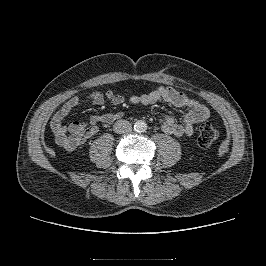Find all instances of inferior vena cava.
Returning <instances> with one entry per match:
<instances>
[{"mask_svg": "<svg viewBox=\"0 0 266 266\" xmlns=\"http://www.w3.org/2000/svg\"><path fill=\"white\" fill-rule=\"evenodd\" d=\"M132 129V125L127 120H118L114 124V131L118 134L127 133Z\"/></svg>", "mask_w": 266, "mask_h": 266, "instance_id": "602c4592", "label": "inferior vena cava"}]
</instances>
